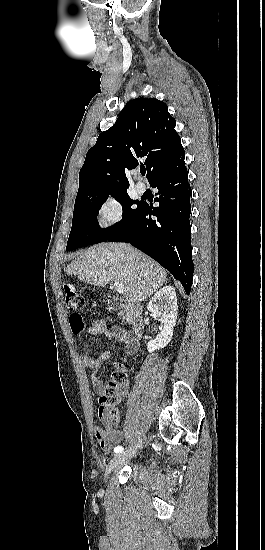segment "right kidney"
I'll list each match as a JSON object with an SVG mask.
<instances>
[{"instance_id": "1", "label": "right kidney", "mask_w": 265, "mask_h": 550, "mask_svg": "<svg viewBox=\"0 0 265 550\" xmlns=\"http://www.w3.org/2000/svg\"><path fill=\"white\" fill-rule=\"evenodd\" d=\"M147 309L160 318L163 330L154 340L147 343L149 353L164 348L172 339L177 319V297L173 286H165L157 291L148 303Z\"/></svg>"}]
</instances>
